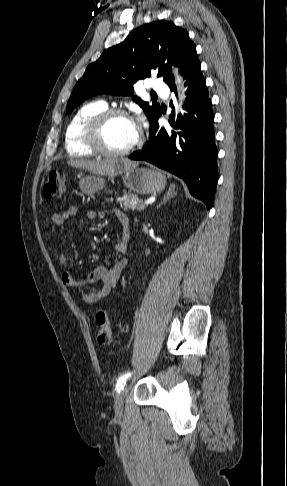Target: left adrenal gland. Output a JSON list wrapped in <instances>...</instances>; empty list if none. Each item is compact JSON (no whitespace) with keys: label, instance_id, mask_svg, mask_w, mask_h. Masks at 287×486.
I'll return each instance as SVG.
<instances>
[{"label":"left adrenal gland","instance_id":"left-adrenal-gland-1","mask_svg":"<svg viewBox=\"0 0 287 486\" xmlns=\"http://www.w3.org/2000/svg\"><path fill=\"white\" fill-rule=\"evenodd\" d=\"M175 195H176L175 185L172 184L170 185L168 192L164 195L163 200L157 205L156 208L158 209L159 207H161V205L165 204L168 200H170Z\"/></svg>","mask_w":287,"mask_h":486}]
</instances>
